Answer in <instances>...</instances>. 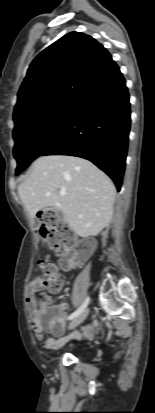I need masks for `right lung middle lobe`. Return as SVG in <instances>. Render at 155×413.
<instances>
[{
    "instance_id": "obj_1",
    "label": "right lung middle lobe",
    "mask_w": 155,
    "mask_h": 413,
    "mask_svg": "<svg viewBox=\"0 0 155 413\" xmlns=\"http://www.w3.org/2000/svg\"><path fill=\"white\" fill-rule=\"evenodd\" d=\"M76 104H65L27 121L13 130L16 175L39 157L63 133Z\"/></svg>"
}]
</instances>
